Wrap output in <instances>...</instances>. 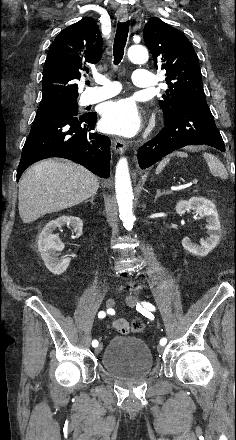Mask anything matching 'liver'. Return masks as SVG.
<instances>
[{
  "label": "liver",
  "instance_id": "6515ba94",
  "mask_svg": "<svg viewBox=\"0 0 236 440\" xmlns=\"http://www.w3.org/2000/svg\"><path fill=\"white\" fill-rule=\"evenodd\" d=\"M97 177L75 163L45 160L22 176L18 209L23 223L76 206L96 194Z\"/></svg>",
  "mask_w": 236,
  "mask_h": 440
}]
</instances>
